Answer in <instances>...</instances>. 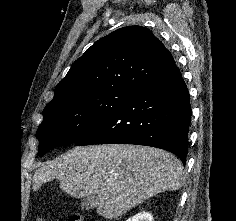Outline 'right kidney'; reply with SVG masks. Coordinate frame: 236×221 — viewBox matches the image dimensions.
<instances>
[{
  "mask_svg": "<svg viewBox=\"0 0 236 221\" xmlns=\"http://www.w3.org/2000/svg\"><path fill=\"white\" fill-rule=\"evenodd\" d=\"M126 221H154V218L151 213L140 212Z\"/></svg>",
  "mask_w": 236,
  "mask_h": 221,
  "instance_id": "obj_1",
  "label": "right kidney"
}]
</instances>
